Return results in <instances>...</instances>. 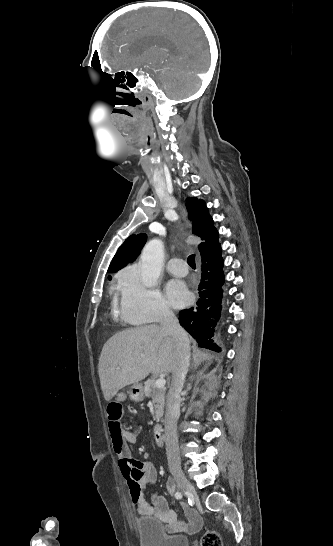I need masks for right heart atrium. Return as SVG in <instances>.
<instances>
[{"mask_svg": "<svg viewBox=\"0 0 333 546\" xmlns=\"http://www.w3.org/2000/svg\"><path fill=\"white\" fill-rule=\"evenodd\" d=\"M120 317L128 324L162 322L173 312L159 289L146 286L137 270H127L119 277Z\"/></svg>", "mask_w": 333, "mask_h": 546, "instance_id": "d8ad5b80", "label": "right heart atrium"}]
</instances>
